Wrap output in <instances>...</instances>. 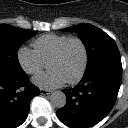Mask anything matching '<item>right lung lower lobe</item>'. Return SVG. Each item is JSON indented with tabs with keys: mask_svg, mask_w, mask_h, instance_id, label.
<instances>
[{
	"mask_svg": "<svg viewBox=\"0 0 128 128\" xmlns=\"http://www.w3.org/2000/svg\"><path fill=\"white\" fill-rule=\"evenodd\" d=\"M39 88L29 84L26 73L0 71V128H16L28 116L30 102Z\"/></svg>",
	"mask_w": 128,
	"mask_h": 128,
	"instance_id": "right-lung-lower-lobe-1",
	"label": "right lung lower lobe"
}]
</instances>
